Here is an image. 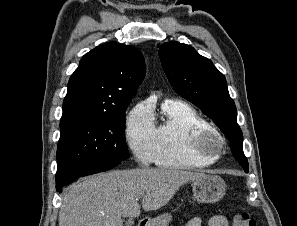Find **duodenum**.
<instances>
[{"mask_svg":"<svg viewBox=\"0 0 297 226\" xmlns=\"http://www.w3.org/2000/svg\"><path fill=\"white\" fill-rule=\"evenodd\" d=\"M150 220H142L138 226H149Z\"/></svg>","mask_w":297,"mask_h":226,"instance_id":"duodenum-1","label":"duodenum"}]
</instances>
